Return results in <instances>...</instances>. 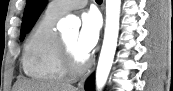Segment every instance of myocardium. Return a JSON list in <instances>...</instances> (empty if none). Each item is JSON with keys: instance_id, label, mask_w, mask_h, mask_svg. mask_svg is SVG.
Listing matches in <instances>:
<instances>
[{"instance_id": "myocardium-1", "label": "myocardium", "mask_w": 173, "mask_h": 91, "mask_svg": "<svg viewBox=\"0 0 173 91\" xmlns=\"http://www.w3.org/2000/svg\"><path fill=\"white\" fill-rule=\"evenodd\" d=\"M60 59L63 69L69 76L81 75L89 65L87 58L78 59L76 57L63 37H60Z\"/></svg>"}]
</instances>
